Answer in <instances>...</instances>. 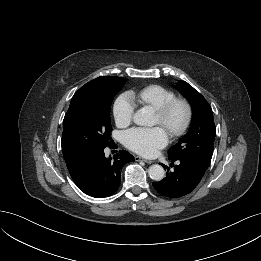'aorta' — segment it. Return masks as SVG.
<instances>
[{
	"label": "aorta",
	"instance_id": "1",
	"mask_svg": "<svg viewBox=\"0 0 261 261\" xmlns=\"http://www.w3.org/2000/svg\"><path fill=\"white\" fill-rule=\"evenodd\" d=\"M133 121L140 126H149L153 124L154 113L149 107H143L135 112ZM150 178L154 181H161L165 177L164 168L161 165L154 164L148 169Z\"/></svg>",
	"mask_w": 261,
	"mask_h": 261
}]
</instances>
